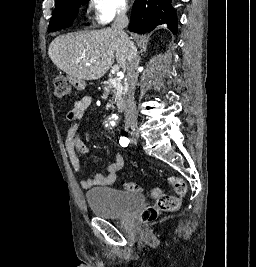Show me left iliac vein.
I'll return each instance as SVG.
<instances>
[{
    "label": "left iliac vein",
    "mask_w": 256,
    "mask_h": 267,
    "mask_svg": "<svg viewBox=\"0 0 256 267\" xmlns=\"http://www.w3.org/2000/svg\"><path fill=\"white\" fill-rule=\"evenodd\" d=\"M132 143H134V144H135V140H134V141L132 140Z\"/></svg>",
    "instance_id": "obj_1"
}]
</instances>
